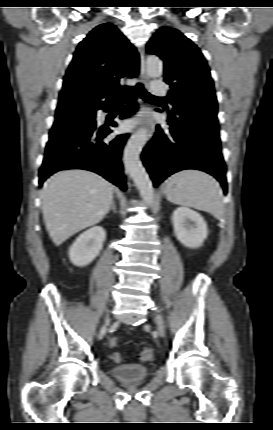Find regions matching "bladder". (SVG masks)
Masks as SVG:
<instances>
[{
	"instance_id": "bladder-1",
	"label": "bladder",
	"mask_w": 273,
	"mask_h": 430,
	"mask_svg": "<svg viewBox=\"0 0 273 430\" xmlns=\"http://www.w3.org/2000/svg\"><path fill=\"white\" fill-rule=\"evenodd\" d=\"M112 375L123 383H137L148 378V368L140 364H122L111 370Z\"/></svg>"
}]
</instances>
